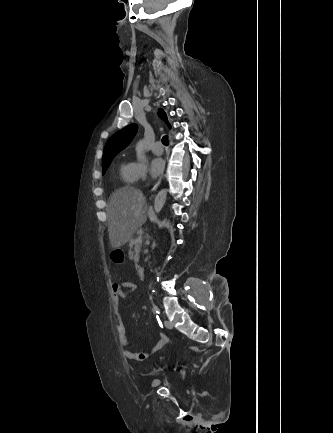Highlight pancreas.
<instances>
[{
  "mask_svg": "<svg viewBox=\"0 0 333 433\" xmlns=\"http://www.w3.org/2000/svg\"><path fill=\"white\" fill-rule=\"evenodd\" d=\"M129 258L134 260L135 264L139 262L142 244L137 242L136 239H131L129 242Z\"/></svg>",
  "mask_w": 333,
  "mask_h": 433,
  "instance_id": "cf45deb5",
  "label": "pancreas"
}]
</instances>
